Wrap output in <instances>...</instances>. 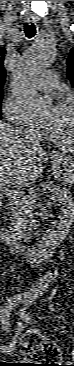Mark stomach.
Returning <instances> with one entry per match:
<instances>
[{
    "mask_svg": "<svg viewBox=\"0 0 74 366\" xmlns=\"http://www.w3.org/2000/svg\"><path fill=\"white\" fill-rule=\"evenodd\" d=\"M53 175L56 180L63 184H71L74 181V159L61 154L53 160Z\"/></svg>",
    "mask_w": 74,
    "mask_h": 366,
    "instance_id": "stomach-1",
    "label": "stomach"
}]
</instances>
